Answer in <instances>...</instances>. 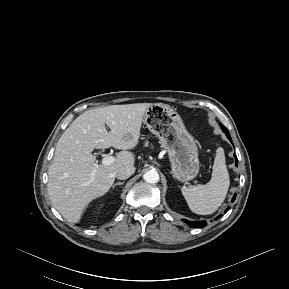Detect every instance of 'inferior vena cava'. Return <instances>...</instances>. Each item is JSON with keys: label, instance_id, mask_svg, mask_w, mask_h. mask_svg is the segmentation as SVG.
Instances as JSON below:
<instances>
[{"label": "inferior vena cava", "instance_id": "inferior-vena-cava-1", "mask_svg": "<svg viewBox=\"0 0 289 289\" xmlns=\"http://www.w3.org/2000/svg\"><path fill=\"white\" fill-rule=\"evenodd\" d=\"M135 172V167L133 165L121 167L117 173L116 177L120 180H125L129 178Z\"/></svg>", "mask_w": 289, "mask_h": 289}]
</instances>
